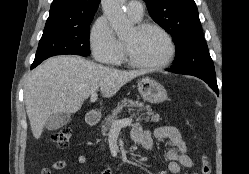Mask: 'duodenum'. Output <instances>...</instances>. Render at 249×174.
<instances>
[{"mask_svg": "<svg viewBox=\"0 0 249 174\" xmlns=\"http://www.w3.org/2000/svg\"><path fill=\"white\" fill-rule=\"evenodd\" d=\"M86 123H87L89 126H95V125L98 123V117H97L96 113H94V112H89V113L86 115Z\"/></svg>", "mask_w": 249, "mask_h": 174, "instance_id": "duodenum-1", "label": "duodenum"}]
</instances>
